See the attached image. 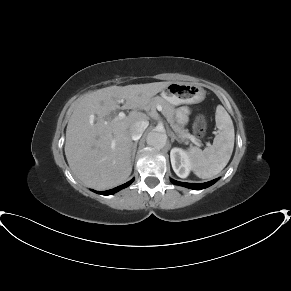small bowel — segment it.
<instances>
[{
  "mask_svg": "<svg viewBox=\"0 0 291 291\" xmlns=\"http://www.w3.org/2000/svg\"><path fill=\"white\" fill-rule=\"evenodd\" d=\"M185 114H186V110H185V109H181V110L179 111V116H180V118L184 119V118H185Z\"/></svg>",
  "mask_w": 291,
  "mask_h": 291,
  "instance_id": "1",
  "label": "small bowel"
}]
</instances>
